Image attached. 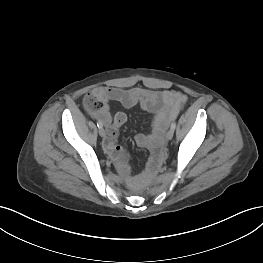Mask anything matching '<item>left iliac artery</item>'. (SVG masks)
Masks as SVG:
<instances>
[{"instance_id":"left-iliac-artery-1","label":"left iliac artery","mask_w":263,"mask_h":263,"mask_svg":"<svg viewBox=\"0 0 263 263\" xmlns=\"http://www.w3.org/2000/svg\"><path fill=\"white\" fill-rule=\"evenodd\" d=\"M175 128H176V123L173 122V123L171 124V129H172V130H175Z\"/></svg>"}]
</instances>
